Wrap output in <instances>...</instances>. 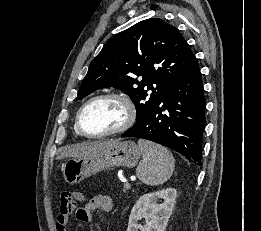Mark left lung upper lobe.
Instances as JSON below:
<instances>
[{"instance_id":"left-lung-upper-lobe-1","label":"left lung upper lobe","mask_w":261,"mask_h":231,"mask_svg":"<svg viewBox=\"0 0 261 231\" xmlns=\"http://www.w3.org/2000/svg\"><path fill=\"white\" fill-rule=\"evenodd\" d=\"M195 62L189 45L174 26L158 18L143 20L104 45L91 61L77 99L100 88H119L134 102L138 121Z\"/></svg>"}]
</instances>
